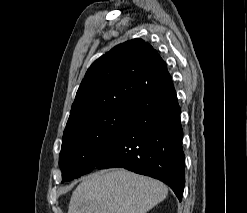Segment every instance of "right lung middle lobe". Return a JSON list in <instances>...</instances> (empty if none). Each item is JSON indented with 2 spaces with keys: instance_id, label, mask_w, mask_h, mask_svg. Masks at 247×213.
Segmentation results:
<instances>
[{
  "instance_id": "dd1d6c3e",
  "label": "right lung middle lobe",
  "mask_w": 247,
  "mask_h": 213,
  "mask_svg": "<svg viewBox=\"0 0 247 213\" xmlns=\"http://www.w3.org/2000/svg\"><path fill=\"white\" fill-rule=\"evenodd\" d=\"M131 111L130 100L119 102L63 135L59 166L62 182L91 172L103 147L118 133Z\"/></svg>"
}]
</instances>
